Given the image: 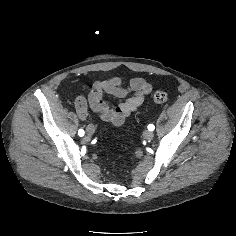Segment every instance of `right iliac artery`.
I'll return each instance as SVG.
<instances>
[{
    "label": "right iliac artery",
    "mask_w": 236,
    "mask_h": 236,
    "mask_svg": "<svg viewBox=\"0 0 236 236\" xmlns=\"http://www.w3.org/2000/svg\"><path fill=\"white\" fill-rule=\"evenodd\" d=\"M84 134H85V132H84V130L83 129H80L79 131H78V135L79 136H84Z\"/></svg>",
    "instance_id": "82829eb1"
}]
</instances>
